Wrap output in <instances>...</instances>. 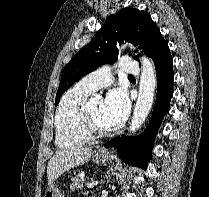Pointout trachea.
I'll return each mask as SVG.
<instances>
[{"instance_id": "trachea-1", "label": "trachea", "mask_w": 209, "mask_h": 197, "mask_svg": "<svg viewBox=\"0 0 209 197\" xmlns=\"http://www.w3.org/2000/svg\"><path fill=\"white\" fill-rule=\"evenodd\" d=\"M128 77L133 78V76H132V75H129Z\"/></svg>"}]
</instances>
